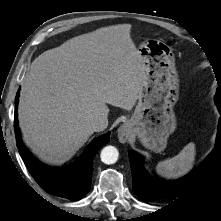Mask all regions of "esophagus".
<instances>
[{
    "mask_svg": "<svg viewBox=\"0 0 221 221\" xmlns=\"http://www.w3.org/2000/svg\"><path fill=\"white\" fill-rule=\"evenodd\" d=\"M131 136V127L129 123L122 124L118 129V139L121 143L128 142Z\"/></svg>",
    "mask_w": 221,
    "mask_h": 221,
    "instance_id": "obj_1",
    "label": "esophagus"
}]
</instances>
